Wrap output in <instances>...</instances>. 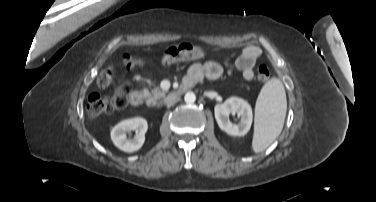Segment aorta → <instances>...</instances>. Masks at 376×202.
Masks as SVG:
<instances>
[{
    "instance_id": "1",
    "label": "aorta",
    "mask_w": 376,
    "mask_h": 202,
    "mask_svg": "<svg viewBox=\"0 0 376 202\" xmlns=\"http://www.w3.org/2000/svg\"><path fill=\"white\" fill-rule=\"evenodd\" d=\"M184 100L188 104H192L196 101V95L193 92H187L185 94Z\"/></svg>"
}]
</instances>
